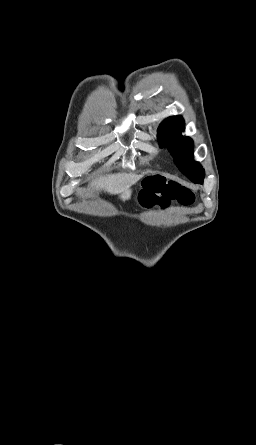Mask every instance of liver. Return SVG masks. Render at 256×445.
<instances>
[{
    "instance_id": "obj_1",
    "label": "liver",
    "mask_w": 256,
    "mask_h": 445,
    "mask_svg": "<svg viewBox=\"0 0 256 445\" xmlns=\"http://www.w3.org/2000/svg\"><path fill=\"white\" fill-rule=\"evenodd\" d=\"M141 177V175L135 174H110L92 181L90 186L94 187L96 190H103L109 194H118L125 191Z\"/></svg>"
}]
</instances>
